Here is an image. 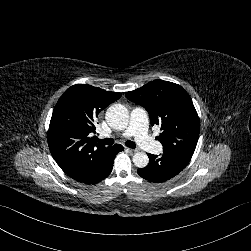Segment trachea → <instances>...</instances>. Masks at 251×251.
Masks as SVG:
<instances>
[{
    "instance_id": "3493384b",
    "label": "trachea",
    "mask_w": 251,
    "mask_h": 251,
    "mask_svg": "<svg viewBox=\"0 0 251 251\" xmlns=\"http://www.w3.org/2000/svg\"><path fill=\"white\" fill-rule=\"evenodd\" d=\"M98 142L105 145H112L114 143L112 138L98 139ZM126 146L129 148H136V144L132 141H127Z\"/></svg>"
}]
</instances>
